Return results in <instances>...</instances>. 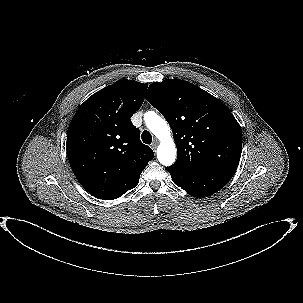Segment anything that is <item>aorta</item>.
<instances>
[{
  "instance_id": "aorta-1",
  "label": "aorta",
  "mask_w": 303,
  "mask_h": 303,
  "mask_svg": "<svg viewBox=\"0 0 303 303\" xmlns=\"http://www.w3.org/2000/svg\"><path fill=\"white\" fill-rule=\"evenodd\" d=\"M144 120L149 130L160 140L157 148L159 162L164 166L172 165L175 162L177 152L169 125L154 112H147L144 115Z\"/></svg>"
}]
</instances>
